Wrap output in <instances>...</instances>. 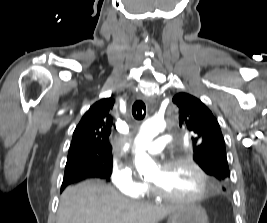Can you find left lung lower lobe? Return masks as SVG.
<instances>
[{
    "instance_id": "left-lung-lower-lobe-1",
    "label": "left lung lower lobe",
    "mask_w": 267,
    "mask_h": 223,
    "mask_svg": "<svg viewBox=\"0 0 267 223\" xmlns=\"http://www.w3.org/2000/svg\"><path fill=\"white\" fill-rule=\"evenodd\" d=\"M217 189L218 190H227L228 189V186L227 185H223V184L222 185H218L217 186Z\"/></svg>"
}]
</instances>
